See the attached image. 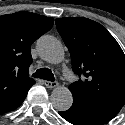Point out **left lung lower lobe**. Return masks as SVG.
I'll return each mask as SVG.
<instances>
[{
  "instance_id": "0a47b994",
  "label": "left lung lower lobe",
  "mask_w": 125,
  "mask_h": 125,
  "mask_svg": "<svg viewBox=\"0 0 125 125\" xmlns=\"http://www.w3.org/2000/svg\"><path fill=\"white\" fill-rule=\"evenodd\" d=\"M123 106L101 102L93 104L73 103L67 111L59 115L74 125H103L113 119Z\"/></svg>"
}]
</instances>
